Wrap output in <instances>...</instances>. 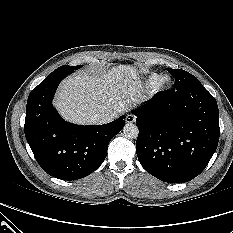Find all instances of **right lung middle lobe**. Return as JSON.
Segmentation results:
<instances>
[{"instance_id":"dd1d6c3e","label":"right lung middle lobe","mask_w":233,"mask_h":233,"mask_svg":"<svg viewBox=\"0 0 233 233\" xmlns=\"http://www.w3.org/2000/svg\"><path fill=\"white\" fill-rule=\"evenodd\" d=\"M81 66H61L59 68H57L56 70H54L51 74H49L48 76H52L61 72H69L72 73L74 72V70L79 69Z\"/></svg>"}]
</instances>
